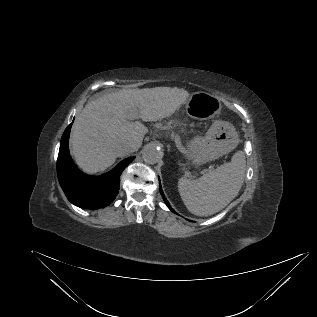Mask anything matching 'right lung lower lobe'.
I'll use <instances>...</instances> for the list:
<instances>
[{
    "label": "right lung lower lobe",
    "mask_w": 317,
    "mask_h": 317,
    "mask_svg": "<svg viewBox=\"0 0 317 317\" xmlns=\"http://www.w3.org/2000/svg\"><path fill=\"white\" fill-rule=\"evenodd\" d=\"M71 125L66 128L60 143L57 159L59 183L72 204L86 209L104 208L118 194L120 175L134 157L123 160L112 171L101 176H90L81 172L69 155Z\"/></svg>",
    "instance_id": "98d812e1"
}]
</instances>
